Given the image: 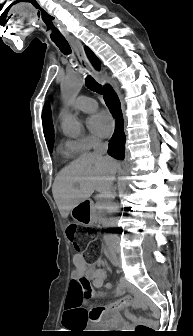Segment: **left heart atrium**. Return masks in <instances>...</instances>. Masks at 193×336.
Returning a JSON list of instances; mask_svg holds the SVG:
<instances>
[{
	"instance_id": "39dd6f15",
	"label": "left heart atrium",
	"mask_w": 193,
	"mask_h": 336,
	"mask_svg": "<svg viewBox=\"0 0 193 336\" xmlns=\"http://www.w3.org/2000/svg\"><path fill=\"white\" fill-rule=\"evenodd\" d=\"M89 130L99 136L107 137L113 130V119L105 111L93 114L87 121Z\"/></svg>"
}]
</instances>
